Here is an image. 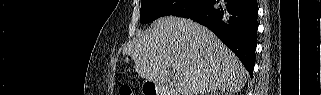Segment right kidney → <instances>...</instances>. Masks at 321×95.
I'll return each mask as SVG.
<instances>
[{
    "label": "right kidney",
    "mask_w": 321,
    "mask_h": 95,
    "mask_svg": "<svg viewBox=\"0 0 321 95\" xmlns=\"http://www.w3.org/2000/svg\"><path fill=\"white\" fill-rule=\"evenodd\" d=\"M216 95H218V93L216 92ZM220 95H222L221 93H220Z\"/></svg>",
    "instance_id": "ca27d5eb"
}]
</instances>
